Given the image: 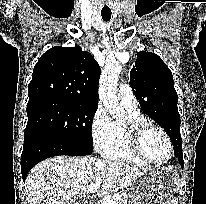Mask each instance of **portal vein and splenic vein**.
I'll list each match as a JSON object with an SVG mask.
<instances>
[{"label": "portal vein and splenic vein", "mask_w": 206, "mask_h": 204, "mask_svg": "<svg viewBox=\"0 0 206 204\" xmlns=\"http://www.w3.org/2000/svg\"><path fill=\"white\" fill-rule=\"evenodd\" d=\"M103 178L102 177H98L94 183H92L91 185L88 186L87 188V192H94L96 191L101 183H102ZM101 204H117V199H111V197L109 196H103Z\"/></svg>", "instance_id": "obj_1"}]
</instances>
